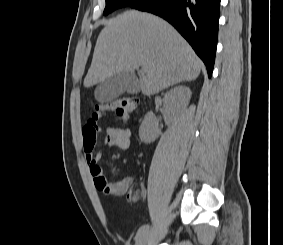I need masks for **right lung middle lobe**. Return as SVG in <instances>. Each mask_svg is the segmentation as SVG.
Listing matches in <instances>:
<instances>
[{
  "instance_id": "dd1d6c3e",
  "label": "right lung middle lobe",
  "mask_w": 283,
  "mask_h": 245,
  "mask_svg": "<svg viewBox=\"0 0 283 245\" xmlns=\"http://www.w3.org/2000/svg\"><path fill=\"white\" fill-rule=\"evenodd\" d=\"M139 1L140 0H106V7L103 14L107 15L118 8L132 6Z\"/></svg>"
}]
</instances>
